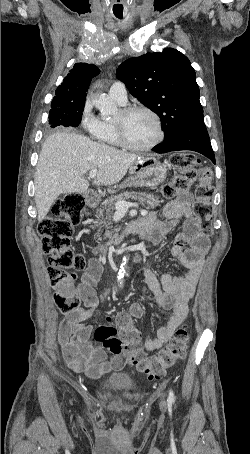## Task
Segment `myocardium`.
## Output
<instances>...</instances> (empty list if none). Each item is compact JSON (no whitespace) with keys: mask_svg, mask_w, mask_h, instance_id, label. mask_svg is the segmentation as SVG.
Returning <instances> with one entry per match:
<instances>
[{"mask_svg":"<svg viewBox=\"0 0 250 454\" xmlns=\"http://www.w3.org/2000/svg\"><path fill=\"white\" fill-rule=\"evenodd\" d=\"M146 112L149 115H151L156 123L157 127V136L156 138L150 142L149 144L145 146H137L132 144L126 134L125 126H124V118L132 113L135 112ZM120 113L122 117L120 119H115L114 120V127L116 130V134L118 137L119 144L122 145L123 147L131 150V151H136V152H146L154 149L156 146H158L163 140L165 136L162 120L160 116L155 112L153 109L150 107L144 106V105H132V106H127L124 107L120 110Z\"/></svg>","mask_w":250,"mask_h":454,"instance_id":"f54148a6","label":"myocardium"}]
</instances>
